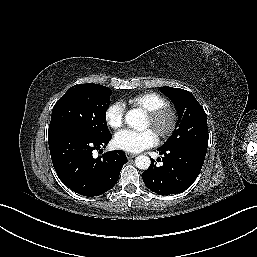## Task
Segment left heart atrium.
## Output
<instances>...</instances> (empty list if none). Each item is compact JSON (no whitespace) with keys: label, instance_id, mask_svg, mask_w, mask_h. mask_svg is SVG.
<instances>
[{"label":"left heart atrium","instance_id":"obj_1","mask_svg":"<svg viewBox=\"0 0 257 257\" xmlns=\"http://www.w3.org/2000/svg\"><path fill=\"white\" fill-rule=\"evenodd\" d=\"M158 143L157 134L151 130L135 131L125 129L118 132L114 137V145L121 150L138 153Z\"/></svg>","mask_w":257,"mask_h":257}]
</instances>
